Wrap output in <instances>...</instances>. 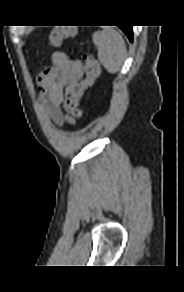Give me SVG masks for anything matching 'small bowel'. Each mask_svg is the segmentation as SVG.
Masks as SVG:
<instances>
[{
    "instance_id": "1",
    "label": "small bowel",
    "mask_w": 184,
    "mask_h": 292,
    "mask_svg": "<svg viewBox=\"0 0 184 292\" xmlns=\"http://www.w3.org/2000/svg\"><path fill=\"white\" fill-rule=\"evenodd\" d=\"M52 65L45 68L38 77L42 105L48 116L58 125L73 120L66 116L61 104L66 87L81 80L83 65L79 60L71 59L65 52L52 54Z\"/></svg>"
}]
</instances>
